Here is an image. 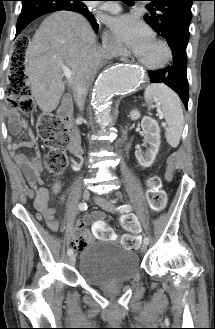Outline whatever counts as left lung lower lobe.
<instances>
[{
  "instance_id": "0a47b994",
  "label": "left lung lower lobe",
  "mask_w": 215,
  "mask_h": 329,
  "mask_svg": "<svg viewBox=\"0 0 215 329\" xmlns=\"http://www.w3.org/2000/svg\"><path fill=\"white\" fill-rule=\"evenodd\" d=\"M172 50L173 60L170 66L164 69L150 71L151 83H164L172 88L188 108L189 86L187 80V44L188 40L176 34L164 37Z\"/></svg>"
}]
</instances>
